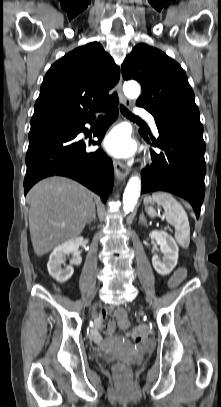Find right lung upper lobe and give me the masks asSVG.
<instances>
[{"label":"right lung upper lobe","instance_id":"obj_1","mask_svg":"<svg viewBox=\"0 0 221 407\" xmlns=\"http://www.w3.org/2000/svg\"><path fill=\"white\" fill-rule=\"evenodd\" d=\"M120 75L98 42L76 48L55 62L43 79L31 128L79 122L118 101L108 92Z\"/></svg>","mask_w":221,"mask_h":407}]
</instances>
